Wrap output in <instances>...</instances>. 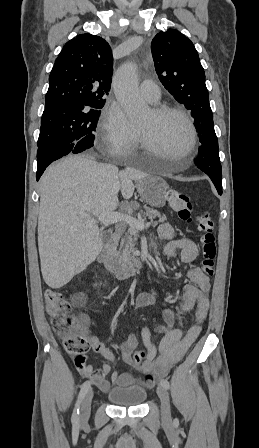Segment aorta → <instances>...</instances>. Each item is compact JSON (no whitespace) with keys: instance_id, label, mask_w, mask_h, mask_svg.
Wrapping results in <instances>:
<instances>
[{"instance_id":"1","label":"aorta","mask_w":259,"mask_h":448,"mask_svg":"<svg viewBox=\"0 0 259 448\" xmlns=\"http://www.w3.org/2000/svg\"><path fill=\"white\" fill-rule=\"evenodd\" d=\"M115 97L131 120L140 119L147 105L138 90L137 68L133 63L123 64L115 73L113 79Z\"/></svg>"}]
</instances>
